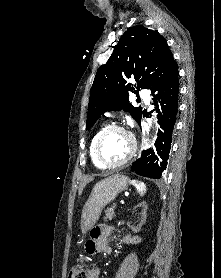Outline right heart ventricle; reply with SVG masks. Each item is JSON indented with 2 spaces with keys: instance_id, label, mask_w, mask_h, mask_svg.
Segmentation results:
<instances>
[{
  "instance_id": "e07e8e85",
  "label": "right heart ventricle",
  "mask_w": 221,
  "mask_h": 278,
  "mask_svg": "<svg viewBox=\"0 0 221 278\" xmlns=\"http://www.w3.org/2000/svg\"><path fill=\"white\" fill-rule=\"evenodd\" d=\"M105 129V127H101L99 128L96 133L93 135V137L91 138V141H90V144H89V154H90V158H91V161L92 163L98 167V168H103L99 163L98 161L96 160L95 158V155H94V145H95V141L97 139V137L99 136V134Z\"/></svg>"
}]
</instances>
